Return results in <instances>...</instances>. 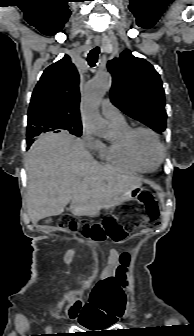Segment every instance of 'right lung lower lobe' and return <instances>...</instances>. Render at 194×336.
Returning <instances> with one entry per match:
<instances>
[{
	"instance_id": "obj_1",
	"label": "right lung lower lobe",
	"mask_w": 194,
	"mask_h": 336,
	"mask_svg": "<svg viewBox=\"0 0 194 336\" xmlns=\"http://www.w3.org/2000/svg\"><path fill=\"white\" fill-rule=\"evenodd\" d=\"M31 144H27V147H30Z\"/></svg>"
}]
</instances>
